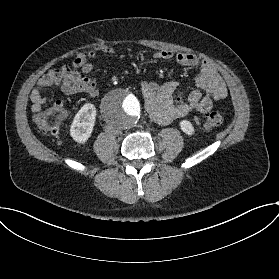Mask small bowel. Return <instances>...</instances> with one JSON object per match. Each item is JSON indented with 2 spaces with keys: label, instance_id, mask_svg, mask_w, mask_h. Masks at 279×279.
I'll use <instances>...</instances> for the list:
<instances>
[{
  "label": "small bowel",
  "instance_id": "c3829d8e",
  "mask_svg": "<svg viewBox=\"0 0 279 279\" xmlns=\"http://www.w3.org/2000/svg\"><path fill=\"white\" fill-rule=\"evenodd\" d=\"M109 52L108 47L105 48ZM96 53L93 50L79 53L73 60L72 66H63L44 74L31 91V111L41 112L48 103L42 92L52 86H57L67 95L84 94L91 98L99 95L97 82L88 75L93 70L92 61ZM153 58L157 61L175 60L179 65L187 68H198L200 73L189 83L193 86L187 100L183 88L177 81L158 84L151 80H143L140 90L144 97V107L148 116L159 125H168L176 119L186 116L192 111L207 113L214 101L222 100L228 95V88L207 61L188 52L174 53L168 49L156 51Z\"/></svg>",
  "mask_w": 279,
  "mask_h": 279
}]
</instances>
